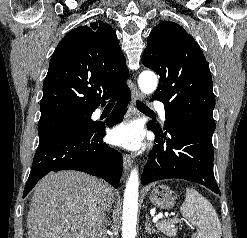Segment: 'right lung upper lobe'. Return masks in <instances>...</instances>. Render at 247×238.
I'll use <instances>...</instances> for the list:
<instances>
[{"mask_svg":"<svg viewBox=\"0 0 247 238\" xmlns=\"http://www.w3.org/2000/svg\"><path fill=\"white\" fill-rule=\"evenodd\" d=\"M128 73L110 25L98 20L71 30L51 57L39 121L94 111L127 86Z\"/></svg>","mask_w":247,"mask_h":238,"instance_id":"1","label":"right lung upper lobe"}]
</instances>
